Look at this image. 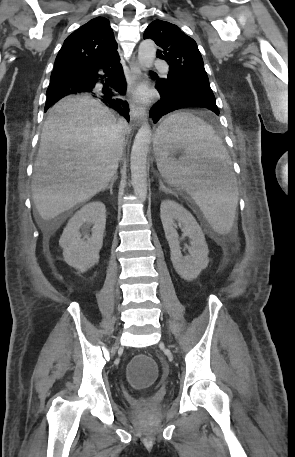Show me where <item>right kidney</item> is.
Listing matches in <instances>:
<instances>
[{"instance_id": "right-kidney-1", "label": "right kidney", "mask_w": 295, "mask_h": 457, "mask_svg": "<svg viewBox=\"0 0 295 457\" xmlns=\"http://www.w3.org/2000/svg\"><path fill=\"white\" fill-rule=\"evenodd\" d=\"M105 224L106 209L100 201L90 202L75 213L59 240L64 260L68 265L85 272L98 263ZM90 225L93 226L91 237L85 231ZM83 228L85 230L81 233L80 229Z\"/></svg>"}]
</instances>
